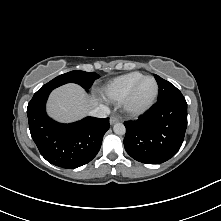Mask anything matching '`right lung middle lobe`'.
I'll list each match as a JSON object with an SVG mask.
<instances>
[{
	"label": "right lung middle lobe",
	"mask_w": 221,
	"mask_h": 221,
	"mask_svg": "<svg viewBox=\"0 0 221 221\" xmlns=\"http://www.w3.org/2000/svg\"><path fill=\"white\" fill-rule=\"evenodd\" d=\"M99 77L100 76L94 72H84L78 70L70 71L68 73L59 75L47 84L43 85L35 94L52 91L53 89L66 83H76L85 89H89L93 82Z\"/></svg>",
	"instance_id": "dd1d6c3e"
}]
</instances>
